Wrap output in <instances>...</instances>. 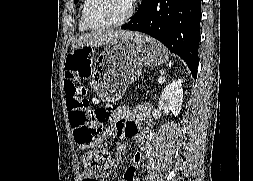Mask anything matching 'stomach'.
Masks as SVG:
<instances>
[{
  "label": "stomach",
  "instance_id": "stomach-1",
  "mask_svg": "<svg viewBox=\"0 0 253 181\" xmlns=\"http://www.w3.org/2000/svg\"><path fill=\"white\" fill-rule=\"evenodd\" d=\"M167 60L166 48L143 34L110 42L95 63V90L103 101H117L141 75L143 65L158 66Z\"/></svg>",
  "mask_w": 253,
  "mask_h": 181
}]
</instances>
